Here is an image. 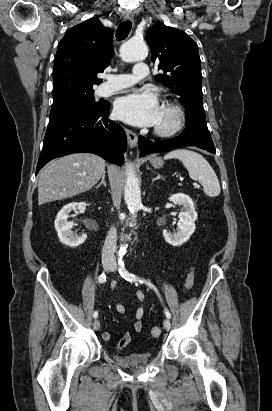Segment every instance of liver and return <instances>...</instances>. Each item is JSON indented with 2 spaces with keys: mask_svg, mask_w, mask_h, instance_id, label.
Wrapping results in <instances>:
<instances>
[{
  "mask_svg": "<svg viewBox=\"0 0 272 411\" xmlns=\"http://www.w3.org/2000/svg\"><path fill=\"white\" fill-rule=\"evenodd\" d=\"M105 160L90 153H75L48 163L39 174V206L69 198L92 188L105 173Z\"/></svg>",
  "mask_w": 272,
  "mask_h": 411,
  "instance_id": "liver-1",
  "label": "liver"
}]
</instances>
